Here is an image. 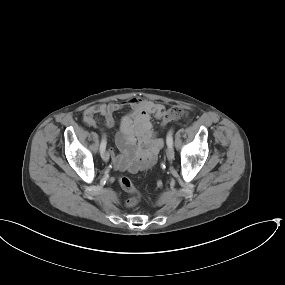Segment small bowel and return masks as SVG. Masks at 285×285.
<instances>
[{"label": "small bowel", "mask_w": 285, "mask_h": 285, "mask_svg": "<svg viewBox=\"0 0 285 285\" xmlns=\"http://www.w3.org/2000/svg\"><path fill=\"white\" fill-rule=\"evenodd\" d=\"M158 107L161 106L153 101L132 98L125 102L95 104L85 110L86 125L94 126L96 118L101 117L107 128H113L116 125L115 114L128 109L116 136V142L122 151L121 155H113V165L116 170L135 173L154 166L163 146L152 124V116L158 119L162 117L157 113Z\"/></svg>", "instance_id": "1"}]
</instances>
